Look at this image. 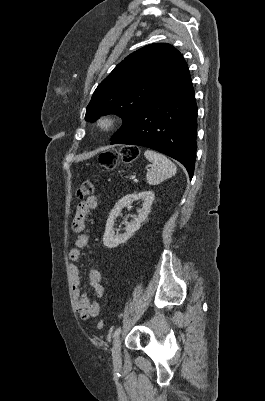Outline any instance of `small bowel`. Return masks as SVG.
<instances>
[{"instance_id":"1","label":"small bowel","mask_w":265,"mask_h":401,"mask_svg":"<svg viewBox=\"0 0 265 401\" xmlns=\"http://www.w3.org/2000/svg\"><path fill=\"white\" fill-rule=\"evenodd\" d=\"M97 205L98 199L96 196H91L77 205L76 213L72 221V229L78 235L74 241V246L69 251V257L74 262L79 259L81 249L87 246L89 242V236L84 232L86 218ZM70 280L73 301L77 313L82 319H89L97 316L100 312V305L97 302L90 301L85 294L81 293L80 271L75 264L70 266ZM88 280L95 295L99 298L103 297L105 289L102 284L101 272L96 269H91L88 273Z\"/></svg>"}]
</instances>
